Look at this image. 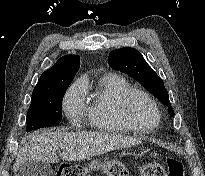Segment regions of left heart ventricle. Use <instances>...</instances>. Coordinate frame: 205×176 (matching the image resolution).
I'll use <instances>...</instances> for the list:
<instances>
[{
  "mask_svg": "<svg viewBox=\"0 0 205 176\" xmlns=\"http://www.w3.org/2000/svg\"><path fill=\"white\" fill-rule=\"evenodd\" d=\"M130 115L133 121L141 126H152L157 116L152 105L141 96L135 97L130 104Z\"/></svg>",
  "mask_w": 205,
  "mask_h": 176,
  "instance_id": "b2bd125f",
  "label": "left heart ventricle"
}]
</instances>
